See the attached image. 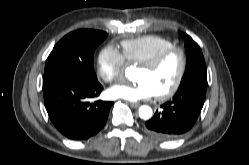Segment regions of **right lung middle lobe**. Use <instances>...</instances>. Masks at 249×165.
<instances>
[{
	"label": "right lung middle lobe",
	"mask_w": 249,
	"mask_h": 165,
	"mask_svg": "<svg viewBox=\"0 0 249 165\" xmlns=\"http://www.w3.org/2000/svg\"><path fill=\"white\" fill-rule=\"evenodd\" d=\"M98 30L81 29L67 34L53 48L45 65V74L68 76L84 83H97L93 66L94 51L106 38Z\"/></svg>",
	"instance_id": "right-lung-middle-lobe-1"
}]
</instances>
